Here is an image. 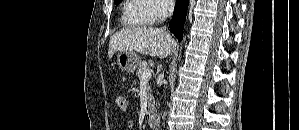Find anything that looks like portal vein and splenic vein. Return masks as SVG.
<instances>
[{"instance_id":"18ae733b","label":"portal vein and splenic vein","mask_w":299,"mask_h":130,"mask_svg":"<svg viewBox=\"0 0 299 130\" xmlns=\"http://www.w3.org/2000/svg\"><path fill=\"white\" fill-rule=\"evenodd\" d=\"M151 74H152L151 69L144 71L143 74L141 75V81L148 82V80L151 78Z\"/></svg>"}]
</instances>
